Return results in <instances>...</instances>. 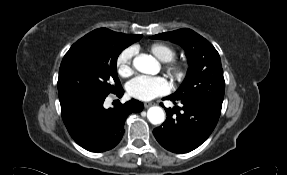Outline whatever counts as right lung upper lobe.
Returning <instances> with one entry per match:
<instances>
[{
	"label": "right lung upper lobe",
	"instance_id": "obj_1",
	"mask_svg": "<svg viewBox=\"0 0 287 175\" xmlns=\"http://www.w3.org/2000/svg\"><path fill=\"white\" fill-rule=\"evenodd\" d=\"M97 30H109V29H106V28H100V29H97ZM126 35V34H125ZM128 36H135V35H128Z\"/></svg>",
	"mask_w": 287,
	"mask_h": 175
}]
</instances>
